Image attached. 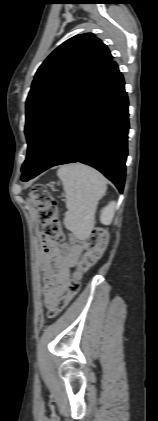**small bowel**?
<instances>
[{"instance_id": "1", "label": "small bowel", "mask_w": 158, "mask_h": 421, "mask_svg": "<svg viewBox=\"0 0 158 421\" xmlns=\"http://www.w3.org/2000/svg\"><path fill=\"white\" fill-rule=\"evenodd\" d=\"M81 252L80 245H73L69 255L65 256L57 243L48 237H42L43 296L47 308H53L66 293L72 269Z\"/></svg>"}]
</instances>
